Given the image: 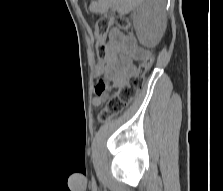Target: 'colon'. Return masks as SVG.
Wrapping results in <instances>:
<instances>
[{
	"instance_id": "1",
	"label": "colon",
	"mask_w": 223,
	"mask_h": 191,
	"mask_svg": "<svg viewBox=\"0 0 223 191\" xmlns=\"http://www.w3.org/2000/svg\"><path fill=\"white\" fill-rule=\"evenodd\" d=\"M115 23L116 26L122 31L130 30V22L124 17H101L96 23V63H95V78H100V73H106L111 69L106 55L107 46L105 38L111 27ZM153 58L148 56L138 67L137 72L132 75L129 80L121 86L117 93H115L107 102L105 108L101 111L99 118L106 121L111 117L121 113L125 108L136 98L138 93L143 87L144 76L152 65Z\"/></svg>"
}]
</instances>
